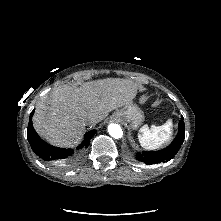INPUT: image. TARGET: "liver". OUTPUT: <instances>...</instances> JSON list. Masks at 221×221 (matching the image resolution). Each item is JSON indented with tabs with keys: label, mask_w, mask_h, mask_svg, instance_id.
<instances>
[{
	"label": "liver",
	"mask_w": 221,
	"mask_h": 221,
	"mask_svg": "<svg viewBox=\"0 0 221 221\" xmlns=\"http://www.w3.org/2000/svg\"><path fill=\"white\" fill-rule=\"evenodd\" d=\"M138 84L129 79L106 78L80 87L61 85L36 105L33 126L49 143L67 147L75 144L85 130V120L95 125L109 112L131 104Z\"/></svg>",
	"instance_id": "obj_1"
}]
</instances>
